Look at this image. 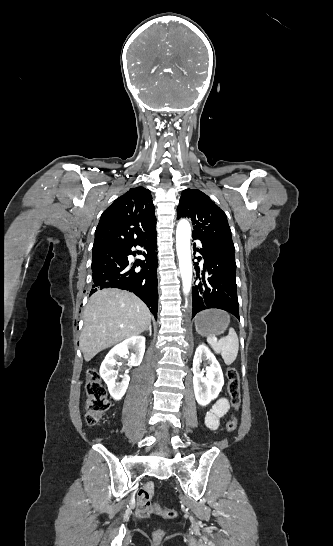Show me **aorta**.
Returning a JSON list of instances; mask_svg holds the SVG:
<instances>
[{
  "label": "aorta",
  "instance_id": "1",
  "mask_svg": "<svg viewBox=\"0 0 333 546\" xmlns=\"http://www.w3.org/2000/svg\"><path fill=\"white\" fill-rule=\"evenodd\" d=\"M190 223L182 219L179 221L176 230V249L179 259V268L182 278L183 291L188 294L192 285V262L190 254Z\"/></svg>",
  "mask_w": 333,
  "mask_h": 546
}]
</instances>
